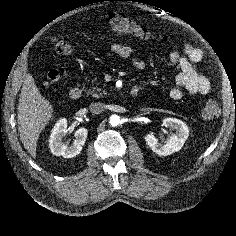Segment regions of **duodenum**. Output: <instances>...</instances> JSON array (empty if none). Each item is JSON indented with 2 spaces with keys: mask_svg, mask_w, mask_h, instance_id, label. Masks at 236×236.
I'll return each mask as SVG.
<instances>
[{
  "mask_svg": "<svg viewBox=\"0 0 236 236\" xmlns=\"http://www.w3.org/2000/svg\"><path fill=\"white\" fill-rule=\"evenodd\" d=\"M130 95H131L132 97L137 96V95H138V90L133 88V89L130 91ZM69 96H70V98L73 99V100H78V99H80L81 96H82V91H81L80 88L74 87V88H72V89L70 90Z\"/></svg>",
  "mask_w": 236,
  "mask_h": 236,
  "instance_id": "410a0bca",
  "label": "duodenum"
}]
</instances>
